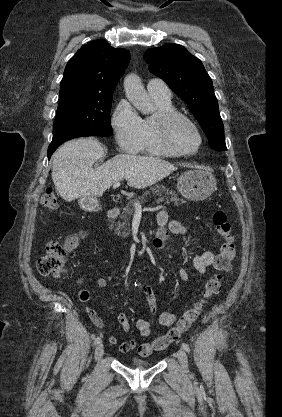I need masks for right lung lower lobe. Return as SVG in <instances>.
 <instances>
[{"label": "right lung lower lobe", "instance_id": "98d812e1", "mask_svg": "<svg viewBox=\"0 0 282 417\" xmlns=\"http://www.w3.org/2000/svg\"><path fill=\"white\" fill-rule=\"evenodd\" d=\"M87 136H94V135H90L88 133L82 132V131H73V132H68L65 134H61L59 136L53 137V140L48 148V158L50 159L51 155L53 154V152L65 141L72 139V138H76V137H87Z\"/></svg>", "mask_w": 282, "mask_h": 417}]
</instances>
